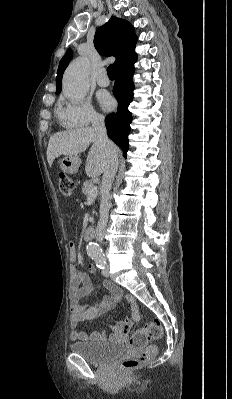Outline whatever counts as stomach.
Here are the masks:
<instances>
[{
  "mask_svg": "<svg viewBox=\"0 0 232 399\" xmlns=\"http://www.w3.org/2000/svg\"><path fill=\"white\" fill-rule=\"evenodd\" d=\"M80 164L81 160L79 156H66V158H62L59 162L60 170L64 174H76Z\"/></svg>",
  "mask_w": 232,
  "mask_h": 399,
  "instance_id": "obj_1",
  "label": "stomach"
}]
</instances>
